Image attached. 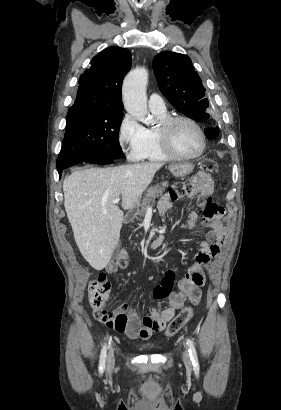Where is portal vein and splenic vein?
<instances>
[{
	"label": "portal vein and splenic vein",
	"instance_id": "obj_1",
	"mask_svg": "<svg viewBox=\"0 0 281 410\" xmlns=\"http://www.w3.org/2000/svg\"><path fill=\"white\" fill-rule=\"evenodd\" d=\"M119 201H120V197H117V198H115L112 202H113L114 204H118Z\"/></svg>",
	"mask_w": 281,
	"mask_h": 410
}]
</instances>
